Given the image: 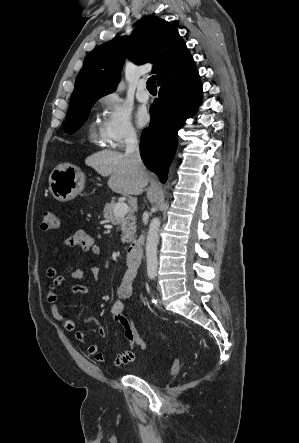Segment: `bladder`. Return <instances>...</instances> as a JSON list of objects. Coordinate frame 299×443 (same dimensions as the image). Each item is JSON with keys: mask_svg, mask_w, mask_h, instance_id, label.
I'll return each instance as SVG.
<instances>
[{"mask_svg": "<svg viewBox=\"0 0 299 443\" xmlns=\"http://www.w3.org/2000/svg\"><path fill=\"white\" fill-rule=\"evenodd\" d=\"M132 374L142 378L143 380L151 384H156L161 380L160 375L141 364L133 368Z\"/></svg>", "mask_w": 299, "mask_h": 443, "instance_id": "1", "label": "bladder"}]
</instances>
